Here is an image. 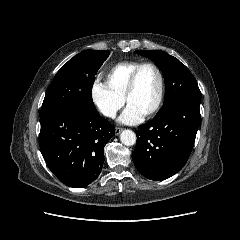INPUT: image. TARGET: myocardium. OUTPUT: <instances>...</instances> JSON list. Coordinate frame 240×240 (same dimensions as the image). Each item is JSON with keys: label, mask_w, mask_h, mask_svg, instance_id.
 I'll list each match as a JSON object with an SVG mask.
<instances>
[{"label": "myocardium", "mask_w": 240, "mask_h": 240, "mask_svg": "<svg viewBox=\"0 0 240 240\" xmlns=\"http://www.w3.org/2000/svg\"><path fill=\"white\" fill-rule=\"evenodd\" d=\"M145 67L153 68L155 70V72L157 73V76L159 78V91H158L156 101L153 104V106L147 112L144 113V116L148 117V116L153 115L160 108V106L162 104V101H163V97H164V91H165L164 75H163L161 69L155 63H152V62L141 63L132 72V74L130 75L129 81H128V85H127V89H126L124 98H125V101L128 103L129 96L134 92V90L136 88V83H137L139 73Z\"/></svg>", "instance_id": "obj_1"}]
</instances>
